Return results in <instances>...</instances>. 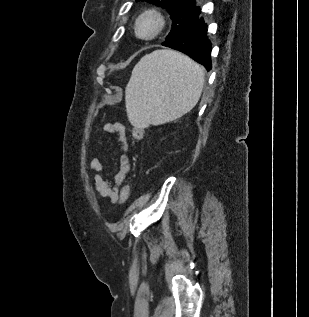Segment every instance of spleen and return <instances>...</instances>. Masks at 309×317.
Wrapping results in <instances>:
<instances>
[{"instance_id":"1","label":"spleen","mask_w":309,"mask_h":317,"mask_svg":"<svg viewBox=\"0 0 309 317\" xmlns=\"http://www.w3.org/2000/svg\"><path fill=\"white\" fill-rule=\"evenodd\" d=\"M203 68L173 50H155L135 65L125 89L126 112L137 127L176 120L198 103Z\"/></svg>"}]
</instances>
